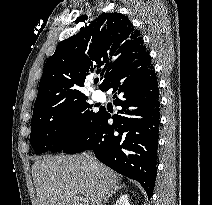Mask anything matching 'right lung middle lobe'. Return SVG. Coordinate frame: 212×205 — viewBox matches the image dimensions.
<instances>
[{
  "label": "right lung middle lobe",
  "mask_w": 212,
  "mask_h": 205,
  "mask_svg": "<svg viewBox=\"0 0 212 205\" xmlns=\"http://www.w3.org/2000/svg\"><path fill=\"white\" fill-rule=\"evenodd\" d=\"M86 99L33 110L30 143L37 154L62 151L92 127L101 110L93 112Z\"/></svg>",
  "instance_id": "right-lung-middle-lobe-1"
}]
</instances>
